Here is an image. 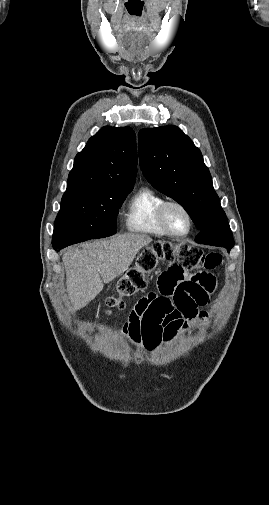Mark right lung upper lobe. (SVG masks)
Segmentation results:
<instances>
[{"mask_svg":"<svg viewBox=\"0 0 269 505\" xmlns=\"http://www.w3.org/2000/svg\"><path fill=\"white\" fill-rule=\"evenodd\" d=\"M136 165L134 131L130 127L105 126L76 155L66 191H132Z\"/></svg>","mask_w":269,"mask_h":505,"instance_id":"1","label":"right lung upper lobe"}]
</instances>
